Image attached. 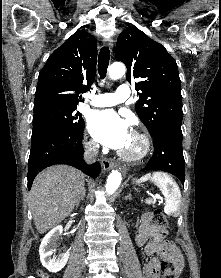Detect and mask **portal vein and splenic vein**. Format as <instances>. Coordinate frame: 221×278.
<instances>
[{"label": "portal vein and splenic vein", "instance_id": "obj_1", "mask_svg": "<svg viewBox=\"0 0 221 278\" xmlns=\"http://www.w3.org/2000/svg\"><path fill=\"white\" fill-rule=\"evenodd\" d=\"M152 197H153L154 201H155L156 199H160V196H159V195H153ZM148 200H152V199H150V198L146 199V201H148Z\"/></svg>", "mask_w": 221, "mask_h": 278}]
</instances>
